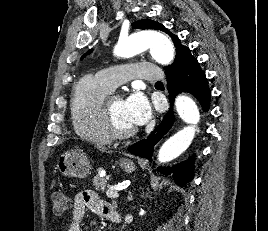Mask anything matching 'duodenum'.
<instances>
[{
  "label": "duodenum",
  "mask_w": 268,
  "mask_h": 231,
  "mask_svg": "<svg viewBox=\"0 0 268 231\" xmlns=\"http://www.w3.org/2000/svg\"><path fill=\"white\" fill-rule=\"evenodd\" d=\"M111 219H112L113 221H118V220H119L118 215H117L116 212H114V214L111 216Z\"/></svg>",
  "instance_id": "410a0bca"
}]
</instances>
